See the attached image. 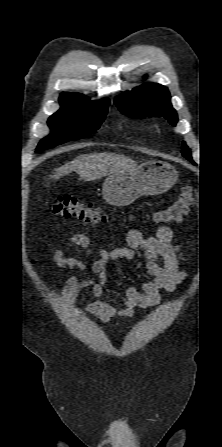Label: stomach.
Here are the masks:
<instances>
[{
	"label": "stomach",
	"instance_id": "1",
	"mask_svg": "<svg viewBox=\"0 0 222 447\" xmlns=\"http://www.w3.org/2000/svg\"><path fill=\"white\" fill-rule=\"evenodd\" d=\"M177 179L178 172L174 166L164 161L150 160L135 169L120 170L106 178L103 198L113 206H127L141 196L168 191Z\"/></svg>",
	"mask_w": 222,
	"mask_h": 447
}]
</instances>
